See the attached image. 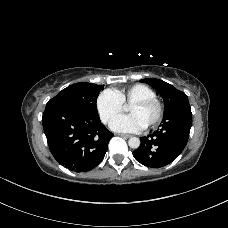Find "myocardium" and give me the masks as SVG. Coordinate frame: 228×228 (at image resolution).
Masks as SVG:
<instances>
[{
  "label": "myocardium",
  "mask_w": 228,
  "mask_h": 228,
  "mask_svg": "<svg viewBox=\"0 0 228 228\" xmlns=\"http://www.w3.org/2000/svg\"><path fill=\"white\" fill-rule=\"evenodd\" d=\"M131 105L138 106V107H148V106L156 107V110H157L156 116L154 120L146 126L147 128L156 127L161 122L164 116V104L157 97L136 100L132 102Z\"/></svg>",
  "instance_id": "1"
}]
</instances>
